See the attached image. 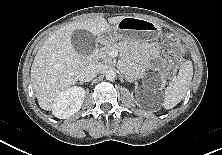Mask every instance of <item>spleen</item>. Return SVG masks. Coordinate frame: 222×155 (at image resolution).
I'll list each match as a JSON object with an SVG mask.
<instances>
[{"mask_svg": "<svg viewBox=\"0 0 222 155\" xmlns=\"http://www.w3.org/2000/svg\"><path fill=\"white\" fill-rule=\"evenodd\" d=\"M193 66L191 61H186L180 68L179 73L172 79L164 92L163 107L171 109L175 107L186 95L192 80Z\"/></svg>", "mask_w": 222, "mask_h": 155, "instance_id": "3e777b00", "label": "spleen"}]
</instances>
